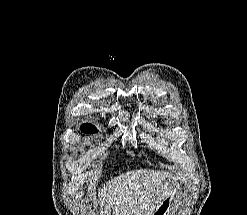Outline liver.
I'll list each match as a JSON object with an SVG mask.
<instances>
[{
    "label": "liver",
    "mask_w": 247,
    "mask_h": 215,
    "mask_svg": "<svg viewBox=\"0 0 247 215\" xmlns=\"http://www.w3.org/2000/svg\"><path fill=\"white\" fill-rule=\"evenodd\" d=\"M176 180L156 170L121 174L99 190L100 215H151Z\"/></svg>",
    "instance_id": "obj_1"
}]
</instances>
